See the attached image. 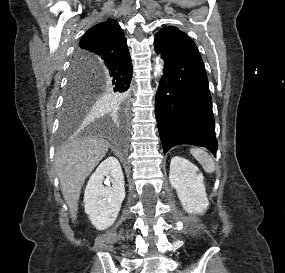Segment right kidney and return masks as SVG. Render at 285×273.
I'll list each match as a JSON object with an SVG mask.
<instances>
[{
	"mask_svg": "<svg viewBox=\"0 0 285 273\" xmlns=\"http://www.w3.org/2000/svg\"><path fill=\"white\" fill-rule=\"evenodd\" d=\"M124 198L120 163L115 157H108L92 174L85 189L84 207L92 225L98 230L109 228L116 220Z\"/></svg>",
	"mask_w": 285,
	"mask_h": 273,
	"instance_id": "right-kidney-1",
	"label": "right kidney"
}]
</instances>
